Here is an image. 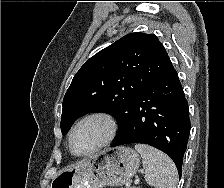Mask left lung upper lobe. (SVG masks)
Masks as SVG:
<instances>
[{
  "mask_svg": "<svg viewBox=\"0 0 224 188\" xmlns=\"http://www.w3.org/2000/svg\"><path fill=\"white\" fill-rule=\"evenodd\" d=\"M171 67L165 48L154 34L130 33L104 48L80 68L65 94L62 134L76 119L93 112L111 114L121 130L140 92Z\"/></svg>",
  "mask_w": 224,
  "mask_h": 188,
  "instance_id": "1",
  "label": "left lung upper lobe"
}]
</instances>
